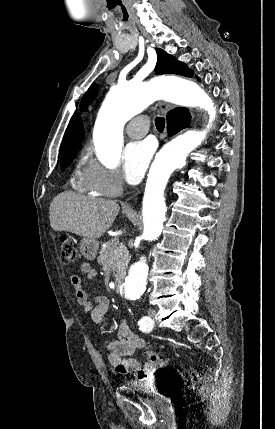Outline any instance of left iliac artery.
I'll use <instances>...</instances> for the list:
<instances>
[{
    "mask_svg": "<svg viewBox=\"0 0 275 429\" xmlns=\"http://www.w3.org/2000/svg\"><path fill=\"white\" fill-rule=\"evenodd\" d=\"M138 325L140 330L150 331L153 327V321L150 317L145 316L138 321Z\"/></svg>",
    "mask_w": 275,
    "mask_h": 429,
    "instance_id": "left-iliac-artery-1",
    "label": "left iliac artery"
}]
</instances>
